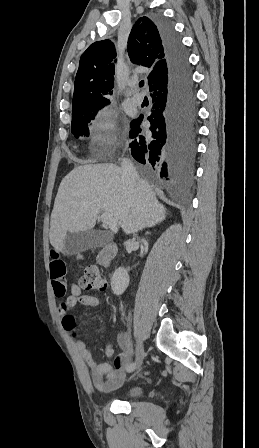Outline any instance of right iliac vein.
<instances>
[{
	"instance_id": "right-iliac-vein-1",
	"label": "right iliac vein",
	"mask_w": 259,
	"mask_h": 448,
	"mask_svg": "<svg viewBox=\"0 0 259 448\" xmlns=\"http://www.w3.org/2000/svg\"><path fill=\"white\" fill-rule=\"evenodd\" d=\"M145 353H144V348H143V344L141 341L137 342L136 345V365L137 368H139L143 362Z\"/></svg>"
}]
</instances>
